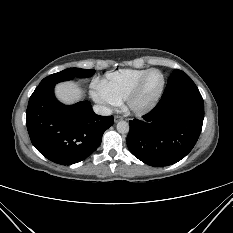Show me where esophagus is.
Masks as SVG:
<instances>
[{
  "mask_svg": "<svg viewBox=\"0 0 233 233\" xmlns=\"http://www.w3.org/2000/svg\"><path fill=\"white\" fill-rule=\"evenodd\" d=\"M122 120V117L119 115L114 116V122L117 123L118 121Z\"/></svg>",
  "mask_w": 233,
  "mask_h": 233,
  "instance_id": "obj_1",
  "label": "esophagus"
}]
</instances>
